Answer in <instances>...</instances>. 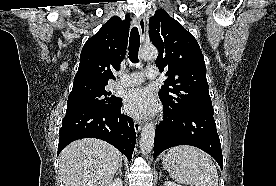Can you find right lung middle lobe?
I'll return each instance as SVG.
<instances>
[{
    "instance_id": "right-lung-middle-lobe-1",
    "label": "right lung middle lobe",
    "mask_w": 276,
    "mask_h": 186,
    "mask_svg": "<svg viewBox=\"0 0 276 186\" xmlns=\"http://www.w3.org/2000/svg\"><path fill=\"white\" fill-rule=\"evenodd\" d=\"M106 85H85L72 88L68 97L66 114L82 110H107L114 107L119 98L105 90Z\"/></svg>"
}]
</instances>
